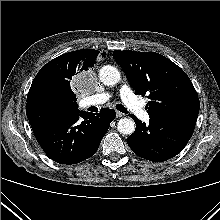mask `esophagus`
Wrapping results in <instances>:
<instances>
[{"mask_svg":"<svg viewBox=\"0 0 220 220\" xmlns=\"http://www.w3.org/2000/svg\"><path fill=\"white\" fill-rule=\"evenodd\" d=\"M116 116L120 118L123 117L124 114L122 112L116 111Z\"/></svg>","mask_w":220,"mask_h":220,"instance_id":"esophagus-1","label":"esophagus"}]
</instances>
